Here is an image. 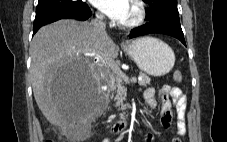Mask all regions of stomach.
<instances>
[{
    "label": "stomach",
    "mask_w": 227,
    "mask_h": 142,
    "mask_svg": "<svg viewBox=\"0 0 227 142\" xmlns=\"http://www.w3.org/2000/svg\"><path fill=\"white\" fill-rule=\"evenodd\" d=\"M123 50L145 73L159 77L169 73L175 63L173 50L163 41L142 37L126 43Z\"/></svg>",
    "instance_id": "obj_1"
}]
</instances>
